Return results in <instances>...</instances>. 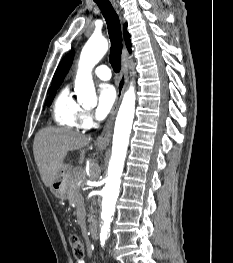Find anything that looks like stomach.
<instances>
[{
    "instance_id": "0dacf381",
    "label": "stomach",
    "mask_w": 233,
    "mask_h": 263,
    "mask_svg": "<svg viewBox=\"0 0 233 263\" xmlns=\"http://www.w3.org/2000/svg\"><path fill=\"white\" fill-rule=\"evenodd\" d=\"M71 168L69 166H63L56 179L52 183L50 189L51 192L60 199H66L70 190L69 176Z\"/></svg>"
}]
</instances>
